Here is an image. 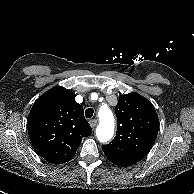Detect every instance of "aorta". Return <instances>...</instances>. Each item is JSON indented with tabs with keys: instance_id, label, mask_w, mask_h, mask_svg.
Returning <instances> with one entry per match:
<instances>
[{
	"instance_id": "obj_1",
	"label": "aorta",
	"mask_w": 194,
	"mask_h": 194,
	"mask_svg": "<svg viewBox=\"0 0 194 194\" xmlns=\"http://www.w3.org/2000/svg\"><path fill=\"white\" fill-rule=\"evenodd\" d=\"M98 117L100 122L96 128V136L100 142H107L114 135L115 121L113 113L109 108L101 107Z\"/></svg>"
}]
</instances>
